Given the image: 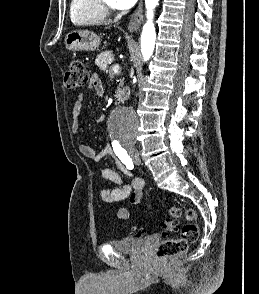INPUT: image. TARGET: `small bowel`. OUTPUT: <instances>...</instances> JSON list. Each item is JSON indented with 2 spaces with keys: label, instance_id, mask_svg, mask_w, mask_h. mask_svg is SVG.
Here are the masks:
<instances>
[{
  "label": "small bowel",
  "instance_id": "1",
  "mask_svg": "<svg viewBox=\"0 0 259 294\" xmlns=\"http://www.w3.org/2000/svg\"><path fill=\"white\" fill-rule=\"evenodd\" d=\"M90 86L94 89L98 96H102L104 94L103 85L97 76L92 77ZM82 108L83 95L80 94L72 108V117L74 120L72 130L74 133H77L80 130V116ZM79 151L84 157L95 162H99L105 156H111L114 158L116 166L122 174L132 176L130 169H128L126 165L118 159V156L114 153V150L110 145H105L99 152H96L91 146L81 144L79 146ZM101 175L103 179L118 186L113 189H103L101 191V198L106 204L116 205L127 198H129L133 205H138L140 203L143 194V179L135 177L130 181H124L117 171L110 168H103L101 170ZM117 215L120 219H127L129 213L126 209L122 208L118 210Z\"/></svg>",
  "mask_w": 259,
  "mask_h": 294
}]
</instances>
